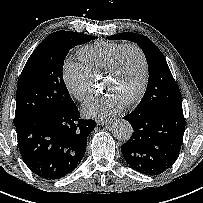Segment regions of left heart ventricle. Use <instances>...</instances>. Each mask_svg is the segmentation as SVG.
Instances as JSON below:
<instances>
[{"instance_id":"left-heart-ventricle-1","label":"left heart ventricle","mask_w":203,"mask_h":203,"mask_svg":"<svg viewBox=\"0 0 203 203\" xmlns=\"http://www.w3.org/2000/svg\"><path fill=\"white\" fill-rule=\"evenodd\" d=\"M142 73L143 65L139 54L129 49L123 54L115 72L103 78L100 88L103 92L125 102L138 90Z\"/></svg>"}]
</instances>
